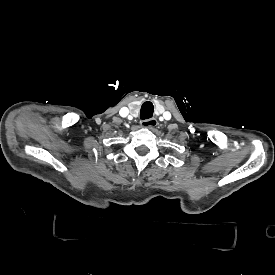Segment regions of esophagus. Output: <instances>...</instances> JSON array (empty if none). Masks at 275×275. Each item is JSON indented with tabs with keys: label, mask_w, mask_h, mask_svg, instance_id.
<instances>
[{
	"label": "esophagus",
	"mask_w": 275,
	"mask_h": 275,
	"mask_svg": "<svg viewBox=\"0 0 275 275\" xmlns=\"http://www.w3.org/2000/svg\"><path fill=\"white\" fill-rule=\"evenodd\" d=\"M140 124L142 127H145V128H154L157 126L158 121L155 118H150V119L142 120Z\"/></svg>",
	"instance_id": "1"
}]
</instances>
